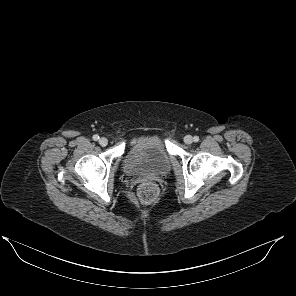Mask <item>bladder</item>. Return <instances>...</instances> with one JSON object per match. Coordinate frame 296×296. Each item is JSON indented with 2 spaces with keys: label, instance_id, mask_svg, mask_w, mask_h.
I'll return each instance as SVG.
<instances>
[{
  "label": "bladder",
  "instance_id": "31cf9c89",
  "mask_svg": "<svg viewBox=\"0 0 296 296\" xmlns=\"http://www.w3.org/2000/svg\"><path fill=\"white\" fill-rule=\"evenodd\" d=\"M136 155L142 158L135 159ZM171 167L164 143L158 136H146L135 141L125 158L126 172L134 176H161Z\"/></svg>",
  "mask_w": 296,
  "mask_h": 296
}]
</instances>
